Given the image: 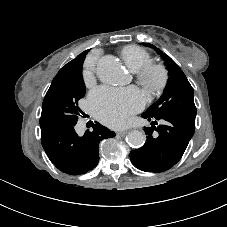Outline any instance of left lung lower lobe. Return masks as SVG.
<instances>
[{
  "mask_svg": "<svg viewBox=\"0 0 227 227\" xmlns=\"http://www.w3.org/2000/svg\"><path fill=\"white\" fill-rule=\"evenodd\" d=\"M142 117L152 121L151 127L144 128L147 135L143 147L132 150V164L145 172H163L173 167L184 154L195 131V118L176 113ZM157 120L163 124L155 127Z\"/></svg>",
  "mask_w": 227,
  "mask_h": 227,
  "instance_id": "1",
  "label": "left lung lower lobe"
}]
</instances>
